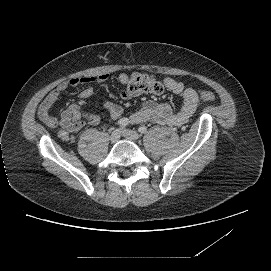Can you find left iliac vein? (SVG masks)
<instances>
[{
	"label": "left iliac vein",
	"mask_w": 271,
	"mask_h": 271,
	"mask_svg": "<svg viewBox=\"0 0 271 271\" xmlns=\"http://www.w3.org/2000/svg\"><path fill=\"white\" fill-rule=\"evenodd\" d=\"M121 133L128 140L135 142L139 139V134L136 131L130 129H122Z\"/></svg>",
	"instance_id": "obj_1"
}]
</instances>
